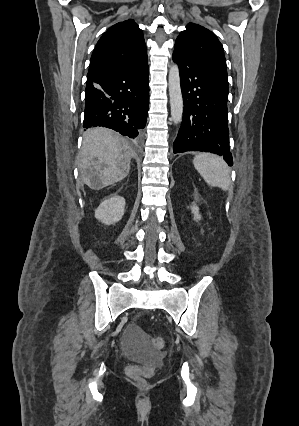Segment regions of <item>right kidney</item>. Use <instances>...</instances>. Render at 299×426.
I'll list each match as a JSON object with an SVG mask.
<instances>
[{"instance_id": "right-kidney-1", "label": "right kidney", "mask_w": 299, "mask_h": 426, "mask_svg": "<svg viewBox=\"0 0 299 426\" xmlns=\"http://www.w3.org/2000/svg\"><path fill=\"white\" fill-rule=\"evenodd\" d=\"M125 209V199L113 195L105 199L95 210V218L106 225L115 224L122 219Z\"/></svg>"}]
</instances>
